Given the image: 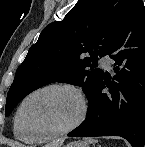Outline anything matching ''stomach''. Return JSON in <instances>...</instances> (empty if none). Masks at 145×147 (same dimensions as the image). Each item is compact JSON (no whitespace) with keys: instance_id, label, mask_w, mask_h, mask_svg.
<instances>
[{"instance_id":"0dacf381","label":"stomach","mask_w":145,"mask_h":147,"mask_svg":"<svg viewBox=\"0 0 145 147\" xmlns=\"http://www.w3.org/2000/svg\"><path fill=\"white\" fill-rule=\"evenodd\" d=\"M64 147H88L86 142H71Z\"/></svg>"}]
</instances>
